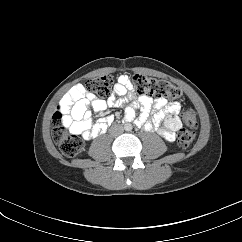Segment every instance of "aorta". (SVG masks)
I'll return each instance as SVG.
<instances>
[{
  "label": "aorta",
  "mask_w": 242,
  "mask_h": 242,
  "mask_svg": "<svg viewBox=\"0 0 242 242\" xmlns=\"http://www.w3.org/2000/svg\"><path fill=\"white\" fill-rule=\"evenodd\" d=\"M126 129H127V130H131L132 127H131L130 125H128V126L126 127Z\"/></svg>",
  "instance_id": "762f6f07"
}]
</instances>
